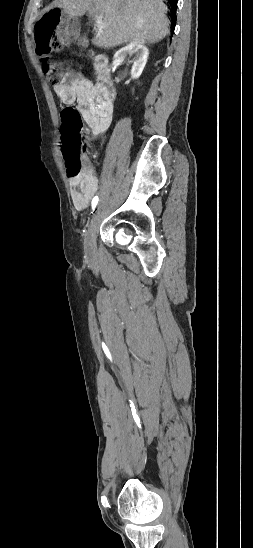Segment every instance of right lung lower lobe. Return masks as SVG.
I'll return each instance as SVG.
<instances>
[{
	"instance_id": "1",
	"label": "right lung lower lobe",
	"mask_w": 253,
	"mask_h": 548,
	"mask_svg": "<svg viewBox=\"0 0 253 548\" xmlns=\"http://www.w3.org/2000/svg\"><path fill=\"white\" fill-rule=\"evenodd\" d=\"M177 1L178 0H168L172 10H173V14H172V22H173V26H172V31L174 30L175 28V24H176V8H177Z\"/></svg>"
}]
</instances>
